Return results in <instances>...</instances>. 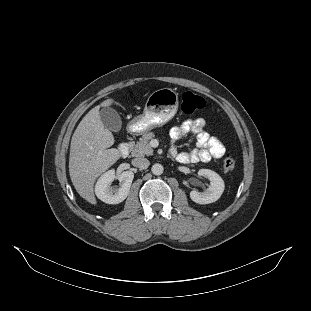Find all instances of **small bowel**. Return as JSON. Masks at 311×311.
Wrapping results in <instances>:
<instances>
[{
	"label": "small bowel",
	"instance_id": "small-bowel-1",
	"mask_svg": "<svg viewBox=\"0 0 311 311\" xmlns=\"http://www.w3.org/2000/svg\"><path fill=\"white\" fill-rule=\"evenodd\" d=\"M190 133L196 136L197 147L188 152H179L175 146L176 142ZM170 137L172 141L170 155L181 164L208 162L211 159H219L225 154L221 141L206 131V122L202 118L188 119L172 127Z\"/></svg>",
	"mask_w": 311,
	"mask_h": 311
}]
</instances>
